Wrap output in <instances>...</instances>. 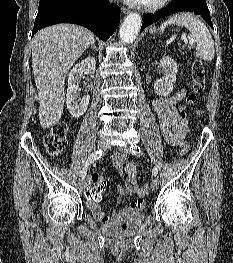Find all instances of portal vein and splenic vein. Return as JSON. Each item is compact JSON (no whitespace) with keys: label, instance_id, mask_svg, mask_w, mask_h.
<instances>
[{"label":"portal vein and splenic vein","instance_id":"obj_1","mask_svg":"<svg viewBox=\"0 0 233 263\" xmlns=\"http://www.w3.org/2000/svg\"><path fill=\"white\" fill-rule=\"evenodd\" d=\"M181 39L182 40H184V41H189L190 43H192V40H190V39H188L187 37H186V34H183L182 36H181Z\"/></svg>","mask_w":233,"mask_h":263}]
</instances>
